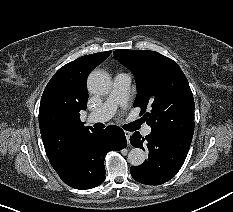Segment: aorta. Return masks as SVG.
<instances>
[{
	"label": "aorta",
	"instance_id": "aorta-1",
	"mask_svg": "<svg viewBox=\"0 0 233 212\" xmlns=\"http://www.w3.org/2000/svg\"><path fill=\"white\" fill-rule=\"evenodd\" d=\"M88 90L92 94L104 95L108 94L111 89L110 76L103 71H93L88 76L87 80ZM146 159L145 152L140 148H133L128 154V161L133 166L143 164Z\"/></svg>",
	"mask_w": 233,
	"mask_h": 212
}]
</instances>
